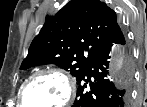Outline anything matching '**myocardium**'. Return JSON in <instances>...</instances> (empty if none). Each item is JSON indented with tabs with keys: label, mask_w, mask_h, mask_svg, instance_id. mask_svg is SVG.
Here are the masks:
<instances>
[{
	"label": "myocardium",
	"mask_w": 147,
	"mask_h": 107,
	"mask_svg": "<svg viewBox=\"0 0 147 107\" xmlns=\"http://www.w3.org/2000/svg\"><path fill=\"white\" fill-rule=\"evenodd\" d=\"M51 75L57 76L58 78H60L66 87L65 99L63 100L62 103H60L54 107H66L72 102V100L75 96V83H74V81L65 72H63L59 69H56V68H48V69L40 70V71L32 74L27 79V81L23 84V86L21 87V90L19 93V103L21 104L22 107H29L25 102V94H26L28 88L30 87V85L39 77L51 76Z\"/></svg>",
	"instance_id": "obj_1"
}]
</instances>
